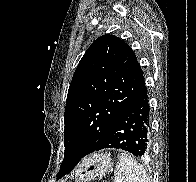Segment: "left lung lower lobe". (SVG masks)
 I'll use <instances>...</instances> for the list:
<instances>
[{
    "mask_svg": "<svg viewBox=\"0 0 196 182\" xmlns=\"http://www.w3.org/2000/svg\"><path fill=\"white\" fill-rule=\"evenodd\" d=\"M150 106L146 85L121 111L103 142L94 150L122 149L137 157L150 155ZM81 147H74L65 155L64 161L78 163L83 154ZM93 151V152H94ZM92 153V152H91Z\"/></svg>",
    "mask_w": 196,
    "mask_h": 182,
    "instance_id": "obj_1",
    "label": "left lung lower lobe"
}]
</instances>
